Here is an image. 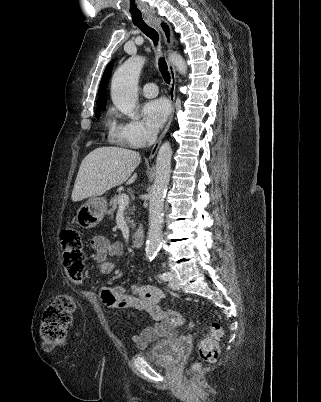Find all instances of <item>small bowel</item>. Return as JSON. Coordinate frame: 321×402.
<instances>
[{
	"label": "small bowel",
	"mask_w": 321,
	"mask_h": 402,
	"mask_svg": "<svg viewBox=\"0 0 321 402\" xmlns=\"http://www.w3.org/2000/svg\"><path fill=\"white\" fill-rule=\"evenodd\" d=\"M95 251V261L99 272L109 274L114 269L110 257H119L123 253L121 242H111L105 236H95L91 240ZM102 303L108 308H135L146 313L155 323L143 332L131 336L132 341L140 348H145L157 339L171 335L176 324L173 315L176 313L164 308L161 301L163 291L155 285H133L130 291L123 285L103 286L100 289Z\"/></svg>",
	"instance_id": "1"
}]
</instances>
